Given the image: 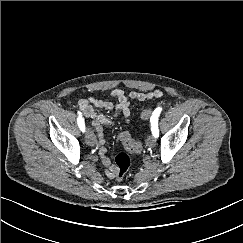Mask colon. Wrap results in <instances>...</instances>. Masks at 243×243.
<instances>
[{"label":"colon","instance_id":"1","mask_svg":"<svg viewBox=\"0 0 243 243\" xmlns=\"http://www.w3.org/2000/svg\"><path fill=\"white\" fill-rule=\"evenodd\" d=\"M153 113V109H146L141 113V118L147 120ZM120 141L124 147L131 153H139L142 150V144L134 141L127 132L120 135ZM130 167V158L125 153H119L114 159V178L118 181L123 180Z\"/></svg>","mask_w":243,"mask_h":243}]
</instances>
